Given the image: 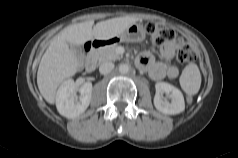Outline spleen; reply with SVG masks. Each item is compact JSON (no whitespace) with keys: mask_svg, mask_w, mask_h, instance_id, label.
<instances>
[{"mask_svg":"<svg viewBox=\"0 0 238 158\" xmlns=\"http://www.w3.org/2000/svg\"><path fill=\"white\" fill-rule=\"evenodd\" d=\"M180 84L182 89L190 94H196L201 85V74L199 68L194 63H189L183 70L180 77Z\"/></svg>","mask_w":238,"mask_h":158,"instance_id":"spleen-1","label":"spleen"}]
</instances>
